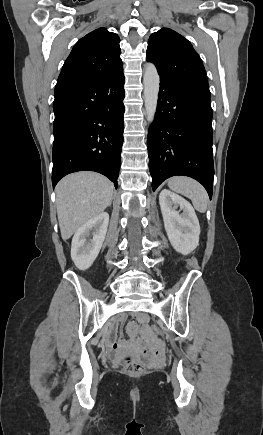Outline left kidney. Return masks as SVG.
Listing matches in <instances>:
<instances>
[{
    "label": "left kidney",
    "instance_id": "obj_1",
    "mask_svg": "<svg viewBox=\"0 0 263 435\" xmlns=\"http://www.w3.org/2000/svg\"><path fill=\"white\" fill-rule=\"evenodd\" d=\"M159 204L164 226L173 248L183 255L191 253L199 244L200 225L194 208L183 197L163 189ZM180 207L182 213L177 210Z\"/></svg>",
    "mask_w": 263,
    "mask_h": 435
}]
</instances>
